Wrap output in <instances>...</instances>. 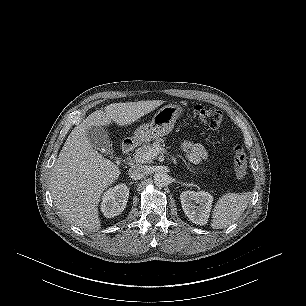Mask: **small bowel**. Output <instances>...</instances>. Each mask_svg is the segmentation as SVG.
<instances>
[{
    "instance_id": "1",
    "label": "small bowel",
    "mask_w": 306,
    "mask_h": 306,
    "mask_svg": "<svg viewBox=\"0 0 306 306\" xmlns=\"http://www.w3.org/2000/svg\"><path fill=\"white\" fill-rule=\"evenodd\" d=\"M181 148L186 153L188 160L193 164H199L208 156L206 149L199 143L184 141L181 144Z\"/></svg>"
}]
</instances>
